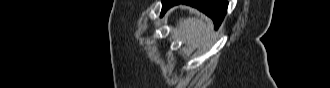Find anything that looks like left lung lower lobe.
<instances>
[{
	"mask_svg": "<svg viewBox=\"0 0 330 88\" xmlns=\"http://www.w3.org/2000/svg\"><path fill=\"white\" fill-rule=\"evenodd\" d=\"M179 3L193 6L209 16L217 29L227 12L228 2L226 0H162L161 16L172 6Z\"/></svg>",
	"mask_w": 330,
	"mask_h": 88,
	"instance_id": "obj_1",
	"label": "left lung lower lobe"
}]
</instances>
